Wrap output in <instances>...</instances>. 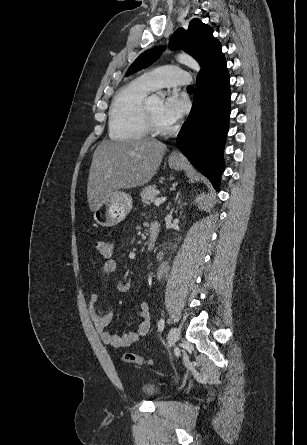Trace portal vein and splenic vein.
<instances>
[{"label":"portal vein and splenic vein","mask_w":307,"mask_h":445,"mask_svg":"<svg viewBox=\"0 0 307 445\" xmlns=\"http://www.w3.org/2000/svg\"><path fill=\"white\" fill-rule=\"evenodd\" d=\"M166 200V196H161V198H156V200H154V204H156V206H159V204H161V202H165Z\"/></svg>","instance_id":"18ae733b"}]
</instances>
